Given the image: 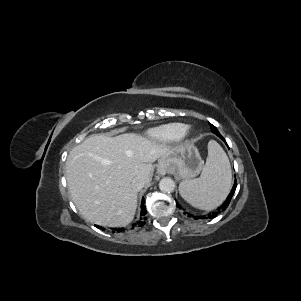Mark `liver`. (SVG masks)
<instances>
[{
  "instance_id": "6515ba94",
  "label": "liver",
  "mask_w": 301,
  "mask_h": 301,
  "mask_svg": "<svg viewBox=\"0 0 301 301\" xmlns=\"http://www.w3.org/2000/svg\"><path fill=\"white\" fill-rule=\"evenodd\" d=\"M171 148L136 133L92 135L69 153L65 177L81 215L101 226L122 227L134 218L137 193L132 181H151L156 160Z\"/></svg>"
}]
</instances>
